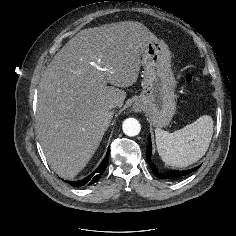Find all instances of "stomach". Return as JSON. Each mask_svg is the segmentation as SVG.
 Listing matches in <instances>:
<instances>
[{
	"mask_svg": "<svg viewBox=\"0 0 236 236\" xmlns=\"http://www.w3.org/2000/svg\"><path fill=\"white\" fill-rule=\"evenodd\" d=\"M142 92L134 105L143 110L155 127H165L176 111V80L171 69V53L161 40L152 41L142 53Z\"/></svg>",
	"mask_w": 236,
	"mask_h": 236,
	"instance_id": "obj_1",
	"label": "stomach"
}]
</instances>
